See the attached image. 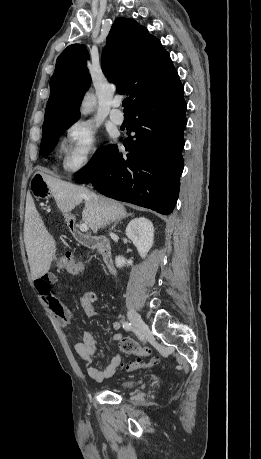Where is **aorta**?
I'll return each mask as SVG.
<instances>
[{
	"label": "aorta",
	"instance_id": "obj_1",
	"mask_svg": "<svg viewBox=\"0 0 261 459\" xmlns=\"http://www.w3.org/2000/svg\"><path fill=\"white\" fill-rule=\"evenodd\" d=\"M95 104H96V99L94 95L91 93H87L82 102L81 113L83 115H87L92 110Z\"/></svg>",
	"mask_w": 261,
	"mask_h": 459
}]
</instances>
